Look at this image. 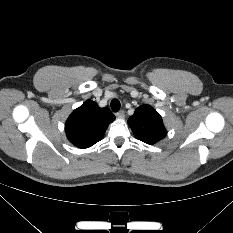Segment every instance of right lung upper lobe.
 Instances as JSON below:
<instances>
[{
	"mask_svg": "<svg viewBox=\"0 0 233 233\" xmlns=\"http://www.w3.org/2000/svg\"><path fill=\"white\" fill-rule=\"evenodd\" d=\"M114 119L109 108H100L95 102L87 100L71 113L65 124V132L73 145L88 148L103 138Z\"/></svg>",
	"mask_w": 233,
	"mask_h": 233,
	"instance_id": "1",
	"label": "right lung upper lobe"
}]
</instances>
